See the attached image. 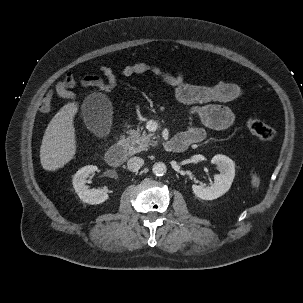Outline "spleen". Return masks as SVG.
<instances>
[{"mask_svg":"<svg viewBox=\"0 0 303 303\" xmlns=\"http://www.w3.org/2000/svg\"><path fill=\"white\" fill-rule=\"evenodd\" d=\"M251 178H252L251 183L253 186H256V184H259L260 179L257 176V174H252Z\"/></svg>","mask_w":303,"mask_h":303,"instance_id":"1","label":"spleen"}]
</instances>
